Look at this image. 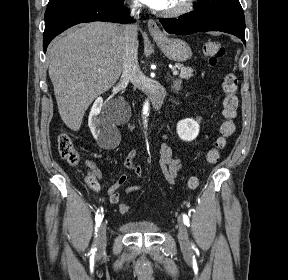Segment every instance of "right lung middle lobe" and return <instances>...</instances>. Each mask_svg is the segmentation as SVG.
<instances>
[{"mask_svg": "<svg viewBox=\"0 0 288 280\" xmlns=\"http://www.w3.org/2000/svg\"><path fill=\"white\" fill-rule=\"evenodd\" d=\"M51 1H55V0H50L49 2H51ZM111 2H114V3H119V2H122V1H124V0H110Z\"/></svg>", "mask_w": 288, "mask_h": 280, "instance_id": "obj_1", "label": "right lung middle lobe"}]
</instances>
